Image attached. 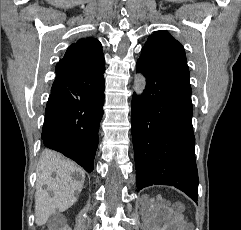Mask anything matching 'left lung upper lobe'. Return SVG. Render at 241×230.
I'll use <instances>...</instances> for the list:
<instances>
[{
    "mask_svg": "<svg viewBox=\"0 0 241 230\" xmlns=\"http://www.w3.org/2000/svg\"><path fill=\"white\" fill-rule=\"evenodd\" d=\"M140 57L168 70L189 76L183 46L166 31H159L149 36Z\"/></svg>",
    "mask_w": 241,
    "mask_h": 230,
    "instance_id": "obj_1",
    "label": "left lung upper lobe"
}]
</instances>
